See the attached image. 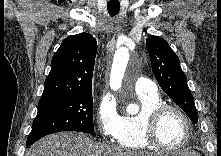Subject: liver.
Masks as SVG:
<instances>
[{
    "label": "liver",
    "instance_id": "1",
    "mask_svg": "<svg viewBox=\"0 0 221 156\" xmlns=\"http://www.w3.org/2000/svg\"><path fill=\"white\" fill-rule=\"evenodd\" d=\"M26 156H152L92 141L78 132L49 135L29 148Z\"/></svg>",
    "mask_w": 221,
    "mask_h": 156
}]
</instances>
